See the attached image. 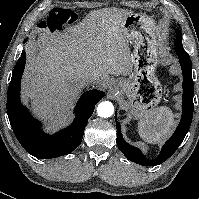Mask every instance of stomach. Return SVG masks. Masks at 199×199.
<instances>
[{
    "mask_svg": "<svg viewBox=\"0 0 199 199\" xmlns=\"http://www.w3.org/2000/svg\"><path fill=\"white\" fill-rule=\"evenodd\" d=\"M123 32L133 44L132 72L128 78L115 81L120 94L127 98L125 109L134 119H141L161 101L162 85L155 75L159 62V41L154 21L140 13H132L123 21Z\"/></svg>",
    "mask_w": 199,
    "mask_h": 199,
    "instance_id": "0dacf381",
    "label": "stomach"
}]
</instances>
